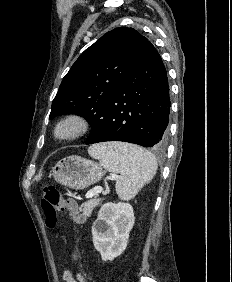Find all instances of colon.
I'll return each instance as SVG.
<instances>
[{
	"label": "colon",
	"instance_id": "obj_1",
	"mask_svg": "<svg viewBox=\"0 0 232 282\" xmlns=\"http://www.w3.org/2000/svg\"><path fill=\"white\" fill-rule=\"evenodd\" d=\"M41 207L48 227L55 226L58 213H69L72 218L80 222L82 218L77 214V204L74 200H66L54 186H45L42 191Z\"/></svg>",
	"mask_w": 232,
	"mask_h": 282
}]
</instances>
